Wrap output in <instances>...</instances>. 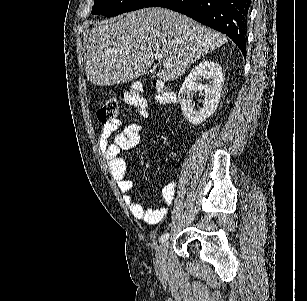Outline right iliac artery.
Masks as SVG:
<instances>
[{"mask_svg": "<svg viewBox=\"0 0 307 301\" xmlns=\"http://www.w3.org/2000/svg\"><path fill=\"white\" fill-rule=\"evenodd\" d=\"M169 237V233H164L160 237V242L166 241Z\"/></svg>", "mask_w": 307, "mask_h": 301, "instance_id": "obj_1", "label": "right iliac artery"}]
</instances>
